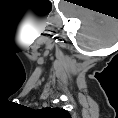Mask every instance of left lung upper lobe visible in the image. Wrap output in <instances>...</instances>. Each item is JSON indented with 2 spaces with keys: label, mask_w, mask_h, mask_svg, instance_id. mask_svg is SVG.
Returning a JSON list of instances; mask_svg holds the SVG:
<instances>
[{
  "label": "left lung upper lobe",
  "mask_w": 118,
  "mask_h": 118,
  "mask_svg": "<svg viewBox=\"0 0 118 118\" xmlns=\"http://www.w3.org/2000/svg\"><path fill=\"white\" fill-rule=\"evenodd\" d=\"M45 111L51 115H56L58 117H61V116H68V113L67 111L63 110V109H58V108H50V107H47L45 109Z\"/></svg>",
  "instance_id": "1"
}]
</instances>
